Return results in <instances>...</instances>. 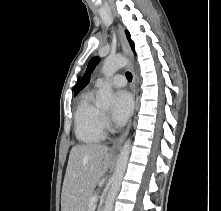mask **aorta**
<instances>
[{"mask_svg":"<svg viewBox=\"0 0 221 211\" xmlns=\"http://www.w3.org/2000/svg\"><path fill=\"white\" fill-rule=\"evenodd\" d=\"M128 65V61L125 57L122 56H116V57H108L105 59L103 66H102V72L104 76L106 77L107 81L105 84L100 88L98 97H97V106L100 108H108L114 103V95L110 83L111 76L120 68H123ZM130 147H131V141L130 139L126 140L118 157L117 163H116V169L115 172L111 178V188L108 193L105 207L103 211H112L113 204L115 197L117 195V192L120 188L127 163L128 158L130 154Z\"/></svg>","mask_w":221,"mask_h":211,"instance_id":"762f6f07","label":"aorta"}]
</instances>
